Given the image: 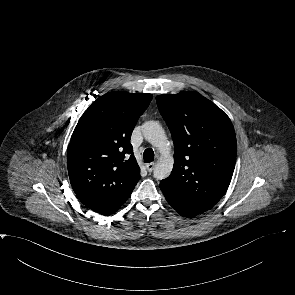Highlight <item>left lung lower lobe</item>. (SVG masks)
Segmentation results:
<instances>
[{"mask_svg": "<svg viewBox=\"0 0 295 295\" xmlns=\"http://www.w3.org/2000/svg\"><path fill=\"white\" fill-rule=\"evenodd\" d=\"M161 190H162V192H163V194H164V196H165V198H166V200L168 201V203L180 214V215H182V216H184V217H191V216H189L187 213H185L184 211H182L178 206H177V203H176V201H175V199L172 197V196H170L165 190H163L162 188H161Z\"/></svg>", "mask_w": 295, "mask_h": 295, "instance_id": "0a47b994", "label": "left lung lower lobe"}]
</instances>
